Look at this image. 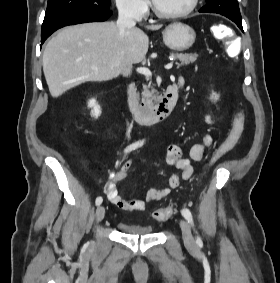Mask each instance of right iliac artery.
Instances as JSON below:
<instances>
[{"instance_id": "obj_1", "label": "right iliac artery", "mask_w": 280, "mask_h": 283, "mask_svg": "<svg viewBox=\"0 0 280 283\" xmlns=\"http://www.w3.org/2000/svg\"><path fill=\"white\" fill-rule=\"evenodd\" d=\"M140 145H141V144H140L139 142L133 143V144H131L130 146H128V147L124 150V152H125V153H128V152H130V151H132V150L138 148ZM102 201H103L102 197L99 196V197L96 198L95 203H96V205L98 206V205H100V204L102 203Z\"/></svg>"}]
</instances>
